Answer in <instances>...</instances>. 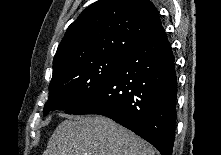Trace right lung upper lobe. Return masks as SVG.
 Wrapping results in <instances>:
<instances>
[{
  "instance_id": "cb5924a9",
  "label": "right lung upper lobe",
  "mask_w": 221,
  "mask_h": 155,
  "mask_svg": "<svg viewBox=\"0 0 221 155\" xmlns=\"http://www.w3.org/2000/svg\"><path fill=\"white\" fill-rule=\"evenodd\" d=\"M163 31L149 0H99L68 27L53 59V74L80 59L127 54L142 40Z\"/></svg>"
}]
</instances>
